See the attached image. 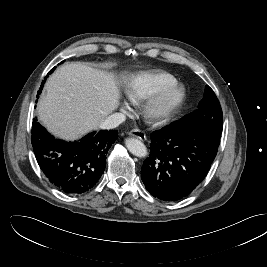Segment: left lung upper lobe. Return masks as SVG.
<instances>
[{
  "mask_svg": "<svg viewBox=\"0 0 267 267\" xmlns=\"http://www.w3.org/2000/svg\"><path fill=\"white\" fill-rule=\"evenodd\" d=\"M183 119L201 122L208 125L216 134L221 135L223 129L222 110L213 90L206 86L204 97L199 102L198 109Z\"/></svg>",
  "mask_w": 267,
  "mask_h": 267,
  "instance_id": "5c2ea615",
  "label": "left lung upper lobe"
}]
</instances>
